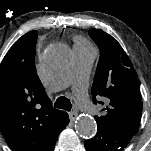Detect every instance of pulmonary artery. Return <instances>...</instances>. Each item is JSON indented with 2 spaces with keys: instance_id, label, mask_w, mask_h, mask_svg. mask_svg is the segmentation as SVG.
<instances>
[{
  "instance_id": "e3ab8cb5",
  "label": "pulmonary artery",
  "mask_w": 151,
  "mask_h": 151,
  "mask_svg": "<svg viewBox=\"0 0 151 151\" xmlns=\"http://www.w3.org/2000/svg\"><path fill=\"white\" fill-rule=\"evenodd\" d=\"M74 62L66 75L54 84L55 90H61L71 84L78 105L91 113L96 111L87 95L89 74L96 57V50L89 45H75Z\"/></svg>"
}]
</instances>
